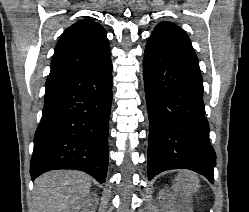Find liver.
<instances>
[{
	"label": "liver",
	"mask_w": 249,
	"mask_h": 212,
	"mask_svg": "<svg viewBox=\"0 0 249 212\" xmlns=\"http://www.w3.org/2000/svg\"><path fill=\"white\" fill-rule=\"evenodd\" d=\"M91 180L88 174L75 170L46 172L34 182L33 212H71L89 194ZM174 188L178 194L191 196L200 188L199 180L192 172L183 170L177 176Z\"/></svg>",
	"instance_id": "1"
}]
</instances>
